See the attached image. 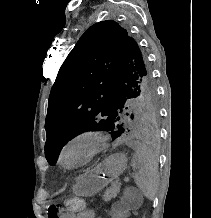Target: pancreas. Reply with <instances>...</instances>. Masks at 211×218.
<instances>
[{
	"instance_id": "obj_1",
	"label": "pancreas",
	"mask_w": 211,
	"mask_h": 218,
	"mask_svg": "<svg viewBox=\"0 0 211 218\" xmlns=\"http://www.w3.org/2000/svg\"><path fill=\"white\" fill-rule=\"evenodd\" d=\"M121 188L120 182H112L111 188H107L106 192H104L103 200L104 202H110L112 198H116L117 194H119Z\"/></svg>"
}]
</instances>
